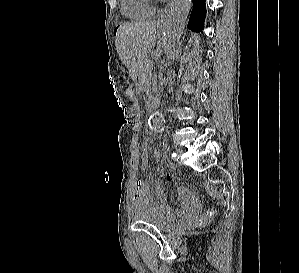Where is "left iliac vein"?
<instances>
[{
	"instance_id": "1",
	"label": "left iliac vein",
	"mask_w": 299,
	"mask_h": 273,
	"mask_svg": "<svg viewBox=\"0 0 299 273\" xmlns=\"http://www.w3.org/2000/svg\"><path fill=\"white\" fill-rule=\"evenodd\" d=\"M182 152H183V151H182L181 149H178V150H177L178 157L181 156Z\"/></svg>"
}]
</instances>
